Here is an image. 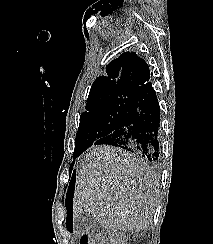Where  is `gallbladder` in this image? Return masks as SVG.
Here are the masks:
<instances>
[{
    "label": "gallbladder",
    "mask_w": 213,
    "mask_h": 244,
    "mask_svg": "<svg viewBox=\"0 0 213 244\" xmlns=\"http://www.w3.org/2000/svg\"><path fill=\"white\" fill-rule=\"evenodd\" d=\"M74 228L80 235H92L101 228L100 224L92 214H82L74 221Z\"/></svg>",
    "instance_id": "1"
}]
</instances>
